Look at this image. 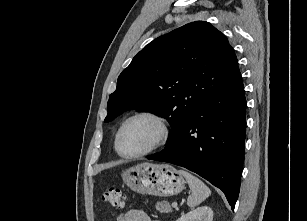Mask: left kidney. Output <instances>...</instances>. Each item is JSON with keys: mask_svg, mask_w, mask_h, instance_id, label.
Instances as JSON below:
<instances>
[{"mask_svg": "<svg viewBox=\"0 0 307 221\" xmlns=\"http://www.w3.org/2000/svg\"><path fill=\"white\" fill-rule=\"evenodd\" d=\"M176 221H213V211L210 207L202 206L183 214Z\"/></svg>", "mask_w": 307, "mask_h": 221, "instance_id": "obj_1", "label": "left kidney"}]
</instances>
